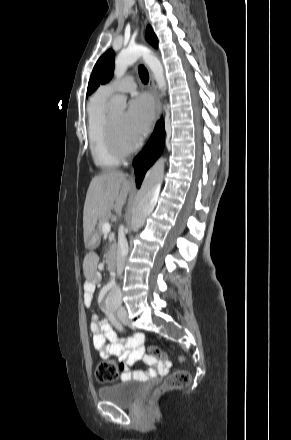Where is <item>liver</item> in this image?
<instances>
[{
	"label": "liver",
	"mask_w": 291,
	"mask_h": 440,
	"mask_svg": "<svg viewBox=\"0 0 291 440\" xmlns=\"http://www.w3.org/2000/svg\"><path fill=\"white\" fill-rule=\"evenodd\" d=\"M132 185L127 175L116 170H108L92 178L84 204V241L94 233L98 219L110 209L119 215L131 191Z\"/></svg>",
	"instance_id": "obj_1"
}]
</instances>
